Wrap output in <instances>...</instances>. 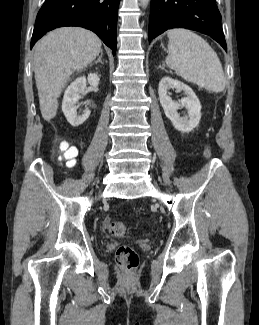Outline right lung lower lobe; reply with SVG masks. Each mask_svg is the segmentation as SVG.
<instances>
[{
  "instance_id": "right-lung-lower-lobe-1",
  "label": "right lung lower lobe",
  "mask_w": 259,
  "mask_h": 325,
  "mask_svg": "<svg viewBox=\"0 0 259 325\" xmlns=\"http://www.w3.org/2000/svg\"><path fill=\"white\" fill-rule=\"evenodd\" d=\"M119 2L120 0H45L37 14L31 48L52 29L80 26L95 32L115 55Z\"/></svg>"
}]
</instances>
